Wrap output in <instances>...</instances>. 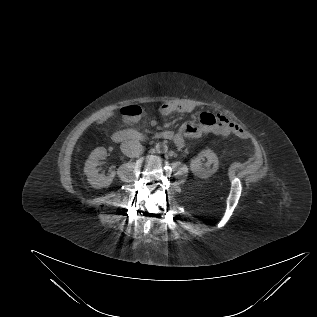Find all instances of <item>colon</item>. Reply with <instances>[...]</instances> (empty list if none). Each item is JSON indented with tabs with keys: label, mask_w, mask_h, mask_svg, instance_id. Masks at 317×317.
Returning a JSON list of instances; mask_svg holds the SVG:
<instances>
[{
	"label": "colon",
	"mask_w": 317,
	"mask_h": 317,
	"mask_svg": "<svg viewBox=\"0 0 317 317\" xmlns=\"http://www.w3.org/2000/svg\"><path fill=\"white\" fill-rule=\"evenodd\" d=\"M146 111V108H141L139 106H128L124 109V114L131 117H137ZM200 121L206 125H215L219 121V116L213 113L204 112L200 115Z\"/></svg>",
	"instance_id": "5ec220e1"
}]
</instances>
